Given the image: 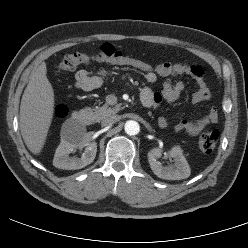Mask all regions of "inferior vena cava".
<instances>
[{
	"instance_id": "602c4592",
	"label": "inferior vena cava",
	"mask_w": 248,
	"mask_h": 248,
	"mask_svg": "<svg viewBox=\"0 0 248 248\" xmlns=\"http://www.w3.org/2000/svg\"><path fill=\"white\" fill-rule=\"evenodd\" d=\"M119 120V117L117 115H110L102 119L101 125L102 126H108L116 123Z\"/></svg>"
}]
</instances>
